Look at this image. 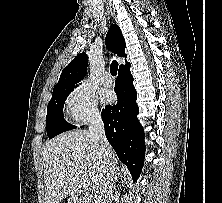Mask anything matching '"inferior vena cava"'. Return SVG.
Here are the masks:
<instances>
[{
	"label": "inferior vena cava",
	"instance_id": "1",
	"mask_svg": "<svg viewBox=\"0 0 222 203\" xmlns=\"http://www.w3.org/2000/svg\"><path fill=\"white\" fill-rule=\"evenodd\" d=\"M89 133L95 140L99 154L105 162L108 163L109 172L103 180H101L95 193V203H106L107 198L112 192V181L115 175V163L112 161V149L107 141L104 130V123L99 113H95L90 120Z\"/></svg>",
	"mask_w": 222,
	"mask_h": 203
}]
</instances>
